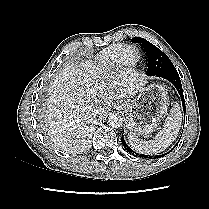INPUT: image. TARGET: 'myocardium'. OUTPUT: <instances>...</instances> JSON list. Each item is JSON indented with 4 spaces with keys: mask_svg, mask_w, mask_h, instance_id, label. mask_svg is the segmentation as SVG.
<instances>
[{
    "mask_svg": "<svg viewBox=\"0 0 209 209\" xmlns=\"http://www.w3.org/2000/svg\"><path fill=\"white\" fill-rule=\"evenodd\" d=\"M128 50H132L135 54L137 53V51L133 47L123 46L122 49L120 50L118 56H117L116 61H117L118 64L123 65V66H128V65L132 64L131 60L125 59V56H124L126 51H128Z\"/></svg>",
    "mask_w": 209,
    "mask_h": 209,
    "instance_id": "obj_1",
    "label": "myocardium"
}]
</instances>
